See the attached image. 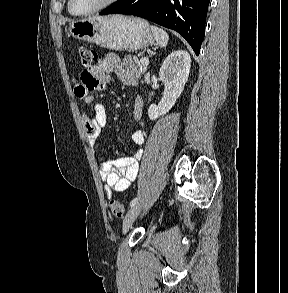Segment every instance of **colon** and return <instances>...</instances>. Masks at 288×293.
I'll return each instance as SVG.
<instances>
[{
    "label": "colon",
    "instance_id": "colon-1",
    "mask_svg": "<svg viewBox=\"0 0 288 293\" xmlns=\"http://www.w3.org/2000/svg\"><path fill=\"white\" fill-rule=\"evenodd\" d=\"M78 55L85 71H89L94 67L95 62L97 61V53L93 49L86 46H80L78 48ZM109 206L111 213L115 217L121 218L124 216L125 207L120 201L112 200Z\"/></svg>",
    "mask_w": 288,
    "mask_h": 293
}]
</instances>
